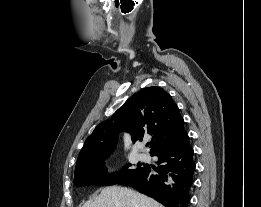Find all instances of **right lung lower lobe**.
<instances>
[{"label":"right lung lower lobe","mask_w":261,"mask_h":207,"mask_svg":"<svg viewBox=\"0 0 261 207\" xmlns=\"http://www.w3.org/2000/svg\"><path fill=\"white\" fill-rule=\"evenodd\" d=\"M151 156L158 157V168H153L157 174H151L152 168L145 164L119 184L134 187L166 207H187L195 171L189 137L177 145L156 151Z\"/></svg>","instance_id":"1"}]
</instances>
